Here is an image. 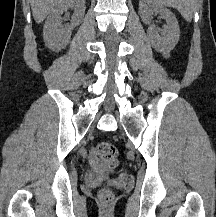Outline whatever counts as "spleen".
I'll list each match as a JSON object with an SVG mask.
<instances>
[{
    "mask_svg": "<svg viewBox=\"0 0 216 217\" xmlns=\"http://www.w3.org/2000/svg\"><path fill=\"white\" fill-rule=\"evenodd\" d=\"M156 3L177 9L186 21L192 20L196 0H155Z\"/></svg>",
    "mask_w": 216,
    "mask_h": 217,
    "instance_id": "spleen-1",
    "label": "spleen"
}]
</instances>
